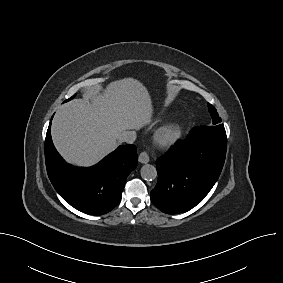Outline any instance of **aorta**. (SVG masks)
Wrapping results in <instances>:
<instances>
[{
    "instance_id": "1",
    "label": "aorta",
    "mask_w": 283,
    "mask_h": 283,
    "mask_svg": "<svg viewBox=\"0 0 283 283\" xmlns=\"http://www.w3.org/2000/svg\"><path fill=\"white\" fill-rule=\"evenodd\" d=\"M141 177L145 180H154L157 177V170L153 165L145 164L142 166Z\"/></svg>"
}]
</instances>
